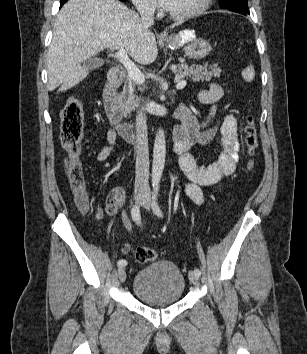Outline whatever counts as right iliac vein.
<instances>
[{
  "label": "right iliac vein",
  "instance_id": "right-iliac-vein-1",
  "mask_svg": "<svg viewBox=\"0 0 307 354\" xmlns=\"http://www.w3.org/2000/svg\"><path fill=\"white\" fill-rule=\"evenodd\" d=\"M144 199L145 198H144V196L142 194L136 195V198H135L136 203L139 204V205H142V203L144 202ZM118 277H119V280L121 282L125 281V279H126V271H125L124 268L119 267V269H118Z\"/></svg>",
  "mask_w": 307,
  "mask_h": 354
}]
</instances>
